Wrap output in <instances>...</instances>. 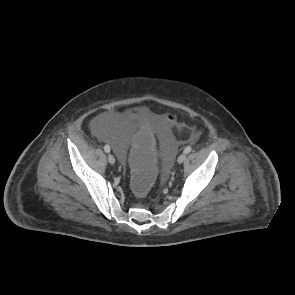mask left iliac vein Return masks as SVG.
<instances>
[{"mask_svg": "<svg viewBox=\"0 0 295 295\" xmlns=\"http://www.w3.org/2000/svg\"><path fill=\"white\" fill-rule=\"evenodd\" d=\"M185 159H186V154L183 153V154L179 155V157L177 159V162L178 163H183L185 161Z\"/></svg>", "mask_w": 295, "mask_h": 295, "instance_id": "4c4485c4", "label": "left iliac vein"}]
</instances>
